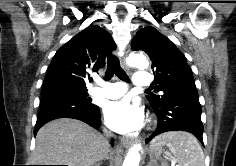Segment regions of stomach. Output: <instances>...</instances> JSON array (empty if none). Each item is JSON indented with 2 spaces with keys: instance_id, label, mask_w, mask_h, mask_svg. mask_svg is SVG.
Returning <instances> with one entry per match:
<instances>
[{
  "instance_id": "stomach-1",
  "label": "stomach",
  "mask_w": 236,
  "mask_h": 166,
  "mask_svg": "<svg viewBox=\"0 0 236 166\" xmlns=\"http://www.w3.org/2000/svg\"><path fill=\"white\" fill-rule=\"evenodd\" d=\"M162 153V148H158L150 145L149 156H150V165L149 166H166V164H161L160 155Z\"/></svg>"
}]
</instances>
